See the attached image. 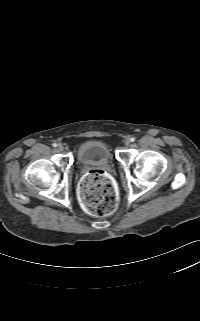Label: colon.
Instances as JSON below:
<instances>
[{
  "label": "colon",
  "mask_w": 200,
  "mask_h": 321,
  "mask_svg": "<svg viewBox=\"0 0 200 321\" xmlns=\"http://www.w3.org/2000/svg\"><path fill=\"white\" fill-rule=\"evenodd\" d=\"M84 209L94 216H106L117 208V195L107 174L102 170L89 171L79 185Z\"/></svg>",
  "instance_id": "colon-1"
}]
</instances>
